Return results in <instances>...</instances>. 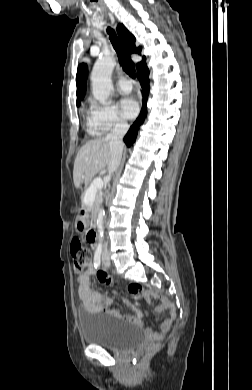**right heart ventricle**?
<instances>
[{
    "label": "right heart ventricle",
    "mask_w": 252,
    "mask_h": 390,
    "mask_svg": "<svg viewBox=\"0 0 252 390\" xmlns=\"http://www.w3.org/2000/svg\"><path fill=\"white\" fill-rule=\"evenodd\" d=\"M87 130H88V132H90V133H94L92 130H91V128H90V123L88 124V126H87ZM95 134V133H94Z\"/></svg>",
    "instance_id": "right-heart-ventricle-1"
}]
</instances>
